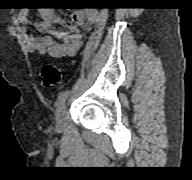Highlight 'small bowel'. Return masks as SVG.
Here are the masks:
<instances>
[{
	"mask_svg": "<svg viewBox=\"0 0 192 180\" xmlns=\"http://www.w3.org/2000/svg\"><path fill=\"white\" fill-rule=\"evenodd\" d=\"M42 21L35 23V27L41 35H35L27 31L29 25V11L22 9L17 19L22 26V34L30 53L48 55L53 58L74 56L83 47L85 37L81 30H89L96 19L94 9L75 10L72 13V21L67 30L57 26L63 25L64 20L59 17L52 9L43 8L41 10Z\"/></svg>",
	"mask_w": 192,
	"mask_h": 180,
	"instance_id": "1",
	"label": "small bowel"
}]
</instances>
